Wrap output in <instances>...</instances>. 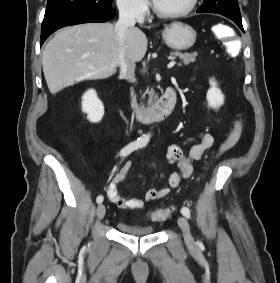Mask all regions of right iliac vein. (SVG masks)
Wrapping results in <instances>:
<instances>
[{
  "instance_id": "right-iliac-vein-1",
  "label": "right iliac vein",
  "mask_w": 280,
  "mask_h": 283,
  "mask_svg": "<svg viewBox=\"0 0 280 283\" xmlns=\"http://www.w3.org/2000/svg\"><path fill=\"white\" fill-rule=\"evenodd\" d=\"M106 208L103 204L98 205L97 207V217L102 219L105 216Z\"/></svg>"
}]
</instances>
